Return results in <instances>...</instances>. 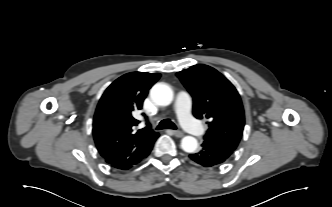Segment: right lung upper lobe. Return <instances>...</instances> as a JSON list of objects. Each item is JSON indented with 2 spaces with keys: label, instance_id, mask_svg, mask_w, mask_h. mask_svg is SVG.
Returning a JSON list of instances; mask_svg holds the SVG:
<instances>
[{
  "label": "right lung upper lobe",
  "instance_id": "obj_1",
  "mask_svg": "<svg viewBox=\"0 0 332 207\" xmlns=\"http://www.w3.org/2000/svg\"><path fill=\"white\" fill-rule=\"evenodd\" d=\"M159 73H127L103 93L93 119V136L98 151L112 167L127 170L150 153L159 134L151 129L136 130L140 121L134 113L142 109L149 89Z\"/></svg>",
  "mask_w": 332,
  "mask_h": 207
}]
</instances>
